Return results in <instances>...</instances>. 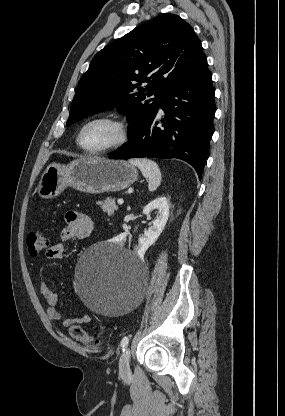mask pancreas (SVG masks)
Returning <instances> with one entry per match:
<instances>
[{"mask_svg":"<svg viewBox=\"0 0 285 416\" xmlns=\"http://www.w3.org/2000/svg\"><path fill=\"white\" fill-rule=\"evenodd\" d=\"M96 204L101 206V210L107 212L108 216H113L115 210H118V206H116L115 200H112V198H106L103 202H96Z\"/></svg>","mask_w":285,"mask_h":416,"instance_id":"1","label":"pancreas"}]
</instances>
